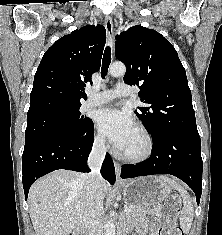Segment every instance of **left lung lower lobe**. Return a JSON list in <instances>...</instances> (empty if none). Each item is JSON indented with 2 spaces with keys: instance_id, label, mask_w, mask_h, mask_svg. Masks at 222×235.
I'll return each instance as SVG.
<instances>
[{
  "instance_id": "left-lung-lower-lobe-1",
  "label": "left lung lower lobe",
  "mask_w": 222,
  "mask_h": 235,
  "mask_svg": "<svg viewBox=\"0 0 222 235\" xmlns=\"http://www.w3.org/2000/svg\"><path fill=\"white\" fill-rule=\"evenodd\" d=\"M202 169L199 135L169 131L153 139L152 153L148 160L136 165H122L121 177L174 175L194 191L199 204L202 193Z\"/></svg>"
}]
</instances>
